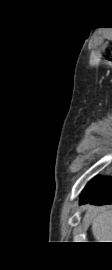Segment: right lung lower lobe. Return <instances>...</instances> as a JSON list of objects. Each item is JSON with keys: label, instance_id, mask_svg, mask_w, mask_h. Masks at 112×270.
Here are the masks:
<instances>
[{"label": "right lung lower lobe", "instance_id": "1", "mask_svg": "<svg viewBox=\"0 0 112 270\" xmlns=\"http://www.w3.org/2000/svg\"><path fill=\"white\" fill-rule=\"evenodd\" d=\"M81 204H112V178H94L85 187L80 197Z\"/></svg>", "mask_w": 112, "mask_h": 270}]
</instances>
